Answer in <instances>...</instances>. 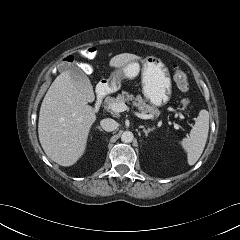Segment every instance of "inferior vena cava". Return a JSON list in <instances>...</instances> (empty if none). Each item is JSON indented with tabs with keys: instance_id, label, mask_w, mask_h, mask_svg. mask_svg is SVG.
I'll use <instances>...</instances> for the list:
<instances>
[{
	"instance_id": "1",
	"label": "inferior vena cava",
	"mask_w": 240,
	"mask_h": 240,
	"mask_svg": "<svg viewBox=\"0 0 240 240\" xmlns=\"http://www.w3.org/2000/svg\"><path fill=\"white\" fill-rule=\"evenodd\" d=\"M100 125L105 131L111 132L117 128L118 123L114 119L106 118L100 121Z\"/></svg>"
}]
</instances>
